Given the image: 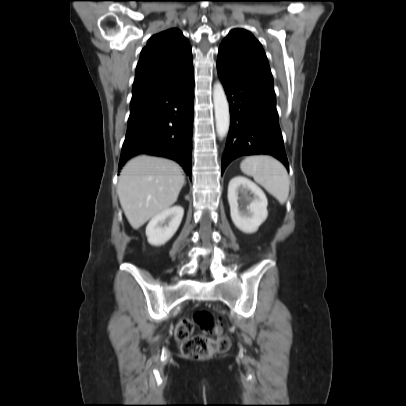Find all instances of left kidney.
<instances>
[{"instance_id": "5707ae66", "label": "left kidney", "mask_w": 406, "mask_h": 406, "mask_svg": "<svg viewBox=\"0 0 406 406\" xmlns=\"http://www.w3.org/2000/svg\"><path fill=\"white\" fill-rule=\"evenodd\" d=\"M253 196H249L248 193ZM231 219L245 233H254L268 216L267 198L254 182L243 177L232 178L228 185ZM246 204L244 207L239 206Z\"/></svg>"}]
</instances>
